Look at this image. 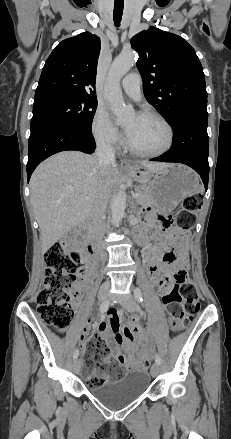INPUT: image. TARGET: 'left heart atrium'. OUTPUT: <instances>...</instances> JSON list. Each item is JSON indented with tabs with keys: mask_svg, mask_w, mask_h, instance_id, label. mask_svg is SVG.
<instances>
[{
	"mask_svg": "<svg viewBox=\"0 0 231 439\" xmlns=\"http://www.w3.org/2000/svg\"><path fill=\"white\" fill-rule=\"evenodd\" d=\"M130 133H131V130L130 129H126L127 138L130 136Z\"/></svg>",
	"mask_w": 231,
	"mask_h": 439,
	"instance_id": "1",
	"label": "left heart atrium"
}]
</instances>
